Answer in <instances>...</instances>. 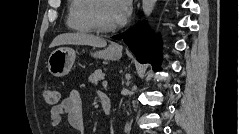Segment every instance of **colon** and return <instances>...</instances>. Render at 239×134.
<instances>
[{"label": "colon", "mask_w": 239, "mask_h": 134, "mask_svg": "<svg viewBox=\"0 0 239 134\" xmlns=\"http://www.w3.org/2000/svg\"><path fill=\"white\" fill-rule=\"evenodd\" d=\"M43 98L48 105L55 106L59 101V93L57 90L44 86L42 89Z\"/></svg>", "instance_id": "5ec220e1"}]
</instances>
